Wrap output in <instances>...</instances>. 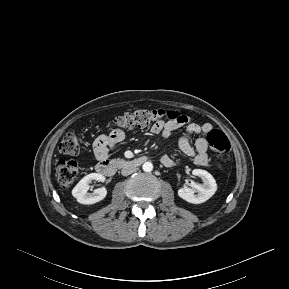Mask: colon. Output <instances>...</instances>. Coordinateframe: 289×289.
Here are the masks:
<instances>
[{"label":"colon","mask_w":289,"mask_h":289,"mask_svg":"<svg viewBox=\"0 0 289 289\" xmlns=\"http://www.w3.org/2000/svg\"><path fill=\"white\" fill-rule=\"evenodd\" d=\"M181 115L174 110L164 109H139L134 112H126L118 115L111 122L112 131L116 129H132L135 127H146L158 121H173L179 119ZM210 148L217 156L228 155L230 151V141L220 130L213 129L207 135ZM59 151L65 155H76L79 152L77 137L67 134L59 145ZM79 173L78 163L74 160H61L56 167V176L59 184L63 188H69L76 180Z\"/></svg>","instance_id":"obj_1"}]
</instances>
